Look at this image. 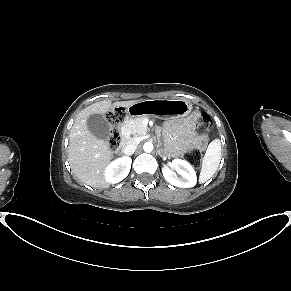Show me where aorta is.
I'll return each instance as SVG.
<instances>
[{"instance_id": "obj_1", "label": "aorta", "mask_w": 291, "mask_h": 291, "mask_svg": "<svg viewBox=\"0 0 291 291\" xmlns=\"http://www.w3.org/2000/svg\"><path fill=\"white\" fill-rule=\"evenodd\" d=\"M143 150L145 152H152L153 150V144L152 142H146L144 145H143Z\"/></svg>"}]
</instances>
